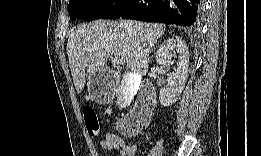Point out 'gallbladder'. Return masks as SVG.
Masks as SVG:
<instances>
[{
  "instance_id": "obj_1",
  "label": "gallbladder",
  "mask_w": 261,
  "mask_h": 156,
  "mask_svg": "<svg viewBox=\"0 0 261 156\" xmlns=\"http://www.w3.org/2000/svg\"><path fill=\"white\" fill-rule=\"evenodd\" d=\"M122 78V86L120 87L121 89H119L120 91H118L117 101H115L119 103L117 104L119 106L115 107L119 110L115 111L119 112H123L122 110H125L124 108H128L126 106L132 102L131 100H134L135 95H137L136 92L140 89V84L142 82L141 76L137 73H126Z\"/></svg>"
}]
</instances>
